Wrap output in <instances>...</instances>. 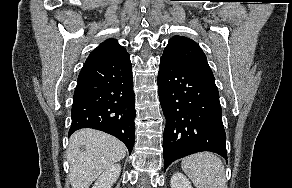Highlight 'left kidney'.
Returning <instances> with one entry per match:
<instances>
[{"label": "left kidney", "instance_id": "1", "mask_svg": "<svg viewBox=\"0 0 292 188\" xmlns=\"http://www.w3.org/2000/svg\"><path fill=\"white\" fill-rule=\"evenodd\" d=\"M171 188H193L189 179L180 173L176 172L171 177Z\"/></svg>", "mask_w": 292, "mask_h": 188}]
</instances>
